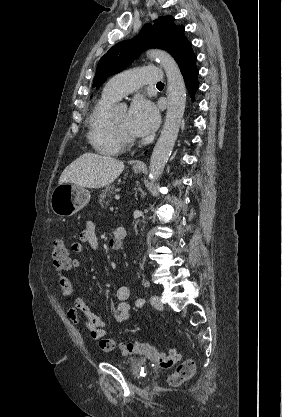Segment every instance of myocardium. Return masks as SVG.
<instances>
[{
    "label": "myocardium",
    "mask_w": 282,
    "mask_h": 417,
    "mask_svg": "<svg viewBox=\"0 0 282 417\" xmlns=\"http://www.w3.org/2000/svg\"><path fill=\"white\" fill-rule=\"evenodd\" d=\"M110 127L112 129L113 135L115 136L119 144L130 145L134 143L135 138L133 136H129L123 133L120 130V128L116 125L113 113H111L110 115Z\"/></svg>",
    "instance_id": "myocardium-1"
}]
</instances>
